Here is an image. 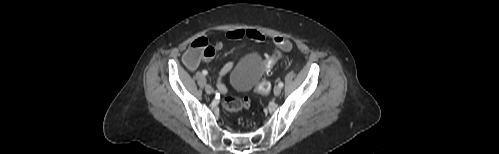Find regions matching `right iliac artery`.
<instances>
[{
  "label": "right iliac artery",
  "instance_id": "right-iliac-artery-1",
  "mask_svg": "<svg viewBox=\"0 0 499 154\" xmlns=\"http://www.w3.org/2000/svg\"><path fill=\"white\" fill-rule=\"evenodd\" d=\"M202 74L206 76L208 74V72L206 70H203Z\"/></svg>",
  "mask_w": 499,
  "mask_h": 154
}]
</instances>
